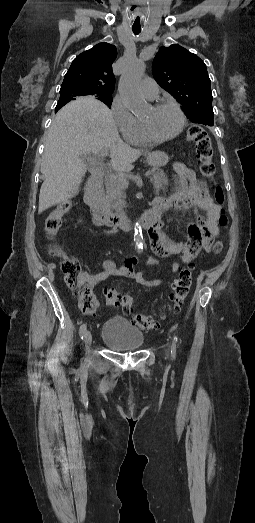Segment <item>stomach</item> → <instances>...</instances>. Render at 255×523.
<instances>
[{
    "mask_svg": "<svg viewBox=\"0 0 255 523\" xmlns=\"http://www.w3.org/2000/svg\"><path fill=\"white\" fill-rule=\"evenodd\" d=\"M169 158L170 155L167 151L152 152V154H147L146 162H148L149 166L161 168V166H165Z\"/></svg>",
    "mask_w": 255,
    "mask_h": 523,
    "instance_id": "1",
    "label": "stomach"
}]
</instances>
